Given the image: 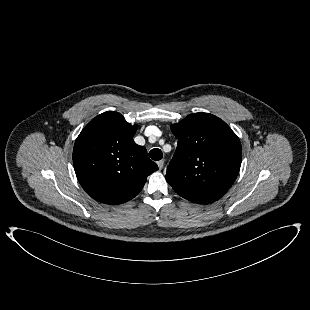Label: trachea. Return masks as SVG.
I'll return each instance as SVG.
<instances>
[{
  "label": "trachea",
  "mask_w": 310,
  "mask_h": 310,
  "mask_svg": "<svg viewBox=\"0 0 310 310\" xmlns=\"http://www.w3.org/2000/svg\"><path fill=\"white\" fill-rule=\"evenodd\" d=\"M162 151L160 149H152L150 152H149V157L152 159V160H155V161H159L162 159Z\"/></svg>",
  "instance_id": "1"
}]
</instances>
